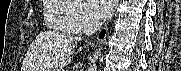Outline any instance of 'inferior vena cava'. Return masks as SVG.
Wrapping results in <instances>:
<instances>
[{
	"label": "inferior vena cava",
	"instance_id": "inferior-vena-cava-1",
	"mask_svg": "<svg viewBox=\"0 0 181 71\" xmlns=\"http://www.w3.org/2000/svg\"><path fill=\"white\" fill-rule=\"evenodd\" d=\"M102 24L95 21L94 19H89L85 26H84V34L87 36L93 35L94 33H96L98 30H100Z\"/></svg>",
	"mask_w": 181,
	"mask_h": 71
}]
</instances>
